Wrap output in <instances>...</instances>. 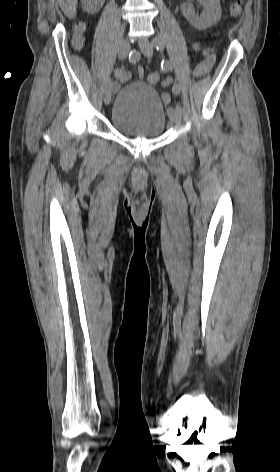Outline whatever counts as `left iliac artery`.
Listing matches in <instances>:
<instances>
[{"label":"left iliac artery","mask_w":280,"mask_h":472,"mask_svg":"<svg viewBox=\"0 0 280 472\" xmlns=\"http://www.w3.org/2000/svg\"><path fill=\"white\" fill-rule=\"evenodd\" d=\"M153 43H154L157 50H162L163 47H164V42L160 38H155L153 40ZM161 67H162V69H164L166 71H172V69H173L172 63L169 62L168 60H165V61L163 60L162 63H161ZM172 92H173L174 95H178L180 93V88L177 84L173 85ZM176 109L180 112L183 111V108L179 103L176 104Z\"/></svg>","instance_id":"1"}]
</instances>
